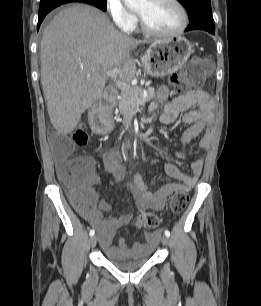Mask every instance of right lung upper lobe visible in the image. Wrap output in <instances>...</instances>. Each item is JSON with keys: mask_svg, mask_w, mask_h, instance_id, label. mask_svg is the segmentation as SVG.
Listing matches in <instances>:
<instances>
[{"mask_svg": "<svg viewBox=\"0 0 261 306\" xmlns=\"http://www.w3.org/2000/svg\"><path fill=\"white\" fill-rule=\"evenodd\" d=\"M52 1V0H51ZM70 1H72V2H83V3H85V0H70Z\"/></svg>", "mask_w": 261, "mask_h": 306, "instance_id": "cb5924a9", "label": "right lung upper lobe"}]
</instances>
